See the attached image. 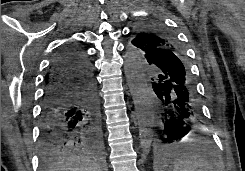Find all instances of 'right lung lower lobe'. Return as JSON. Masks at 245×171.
<instances>
[{"label": "right lung lower lobe", "instance_id": "right-lung-lower-lobe-1", "mask_svg": "<svg viewBox=\"0 0 245 171\" xmlns=\"http://www.w3.org/2000/svg\"><path fill=\"white\" fill-rule=\"evenodd\" d=\"M41 141L48 148L100 144V113L91 61L76 45L52 61L41 105Z\"/></svg>", "mask_w": 245, "mask_h": 171}]
</instances>
